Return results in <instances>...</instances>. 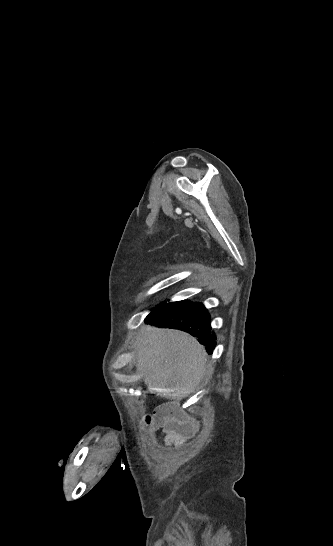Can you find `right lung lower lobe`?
Listing matches in <instances>:
<instances>
[{"mask_svg":"<svg viewBox=\"0 0 333 546\" xmlns=\"http://www.w3.org/2000/svg\"><path fill=\"white\" fill-rule=\"evenodd\" d=\"M146 323L188 332L206 347L209 354L216 346V336L210 326V315L201 303L179 301L163 305L149 314Z\"/></svg>","mask_w":333,"mask_h":546,"instance_id":"1","label":"right lung lower lobe"}]
</instances>
